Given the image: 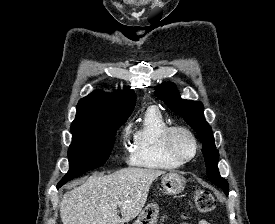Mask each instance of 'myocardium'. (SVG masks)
Returning <instances> with one entry per match:
<instances>
[{"mask_svg": "<svg viewBox=\"0 0 275 224\" xmlns=\"http://www.w3.org/2000/svg\"><path fill=\"white\" fill-rule=\"evenodd\" d=\"M186 135L193 144V152L189 155H183L177 151L174 146V138L177 134ZM163 145L166 152L181 164L187 163L195 158L198 153L199 145L195 134L187 127L182 125L169 126L163 136Z\"/></svg>", "mask_w": 275, "mask_h": 224, "instance_id": "1", "label": "myocardium"}]
</instances>
